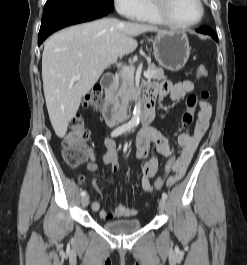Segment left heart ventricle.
Returning a JSON list of instances; mask_svg holds the SVG:
<instances>
[{
    "label": "left heart ventricle",
    "instance_id": "b2bd125f",
    "mask_svg": "<svg viewBox=\"0 0 247 265\" xmlns=\"http://www.w3.org/2000/svg\"><path fill=\"white\" fill-rule=\"evenodd\" d=\"M170 13L180 23L195 21L200 13L197 0H171Z\"/></svg>",
    "mask_w": 247,
    "mask_h": 265
}]
</instances>
